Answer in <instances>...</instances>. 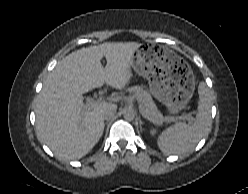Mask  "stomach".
I'll return each mask as SVG.
<instances>
[{
    "label": "stomach",
    "instance_id": "stomach-1",
    "mask_svg": "<svg viewBox=\"0 0 248 194\" xmlns=\"http://www.w3.org/2000/svg\"><path fill=\"white\" fill-rule=\"evenodd\" d=\"M131 68L148 80L152 95L172 114L183 110L194 93L191 67L168 48L143 45L135 51Z\"/></svg>",
    "mask_w": 248,
    "mask_h": 194
}]
</instances>
